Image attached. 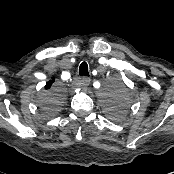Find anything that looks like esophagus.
Returning <instances> with one entry per match:
<instances>
[{"label":"esophagus","mask_w":174,"mask_h":174,"mask_svg":"<svg viewBox=\"0 0 174 174\" xmlns=\"http://www.w3.org/2000/svg\"><path fill=\"white\" fill-rule=\"evenodd\" d=\"M90 78H88V77H83L82 79H81V86L83 87V88H87L88 86H89V84H90Z\"/></svg>","instance_id":"34e87169"}]
</instances>
